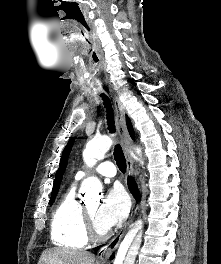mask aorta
Instances as JSON below:
<instances>
[{
  "mask_svg": "<svg viewBox=\"0 0 221 264\" xmlns=\"http://www.w3.org/2000/svg\"><path fill=\"white\" fill-rule=\"evenodd\" d=\"M111 145L112 141L106 137L90 141L83 151L85 164L88 167H93L98 160L104 158ZM101 190L102 185L95 177H89L82 183V191L87 197L97 195ZM142 235L143 231L139 226L125 236L118 249L114 264H134L142 242Z\"/></svg>",
  "mask_w": 221,
  "mask_h": 264,
  "instance_id": "762f6f07",
  "label": "aorta"
}]
</instances>
